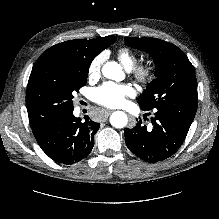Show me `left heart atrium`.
I'll return each instance as SVG.
<instances>
[{
  "instance_id": "1",
  "label": "left heart atrium",
  "mask_w": 219,
  "mask_h": 219,
  "mask_svg": "<svg viewBox=\"0 0 219 219\" xmlns=\"http://www.w3.org/2000/svg\"><path fill=\"white\" fill-rule=\"evenodd\" d=\"M134 95V90L123 84L106 82L95 89V101L104 107H120L125 104L126 98Z\"/></svg>"
}]
</instances>
